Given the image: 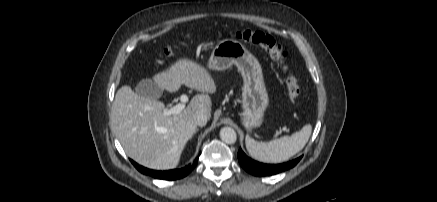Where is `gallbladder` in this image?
<instances>
[{
	"instance_id": "bac80fb5",
	"label": "gallbladder",
	"mask_w": 437,
	"mask_h": 202,
	"mask_svg": "<svg viewBox=\"0 0 437 202\" xmlns=\"http://www.w3.org/2000/svg\"><path fill=\"white\" fill-rule=\"evenodd\" d=\"M135 92L142 97L157 99L162 95L163 89L153 80L143 79L135 87Z\"/></svg>"
}]
</instances>
